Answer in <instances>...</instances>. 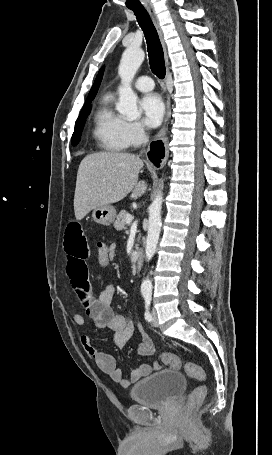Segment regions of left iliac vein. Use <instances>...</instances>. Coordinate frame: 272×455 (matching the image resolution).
Instances as JSON below:
<instances>
[{"mask_svg":"<svg viewBox=\"0 0 272 455\" xmlns=\"http://www.w3.org/2000/svg\"><path fill=\"white\" fill-rule=\"evenodd\" d=\"M152 325L155 327L158 326V316L157 311L155 309L152 310Z\"/></svg>","mask_w":272,"mask_h":455,"instance_id":"1","label":"left iliac vein"}]
</instances>
